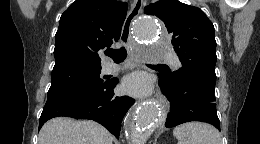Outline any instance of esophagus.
<instances>
[{
    "instance_id": "esophagus-1",
    "label": "esophagus",
    "mask_w": 260,
    "mask_h": 144,
    "mask_svg": "<svg viewBox=\"0 0 260 144\" xmlns=\"http://www.w3.org/2000/svg\"><path fill=\"white\" fill-rule=\"evenodd\" d=\"M142 6H143V0H134L131 10L128 13L121 32V37L120 41L122 44L126 43V40L130 38L131 36V26L133 21L139 16L140 12L142 11ZM138 66L144 67V62L139 60L138 61ZM159 97V95H157Z\"/></svg>"
}]
</instances>
